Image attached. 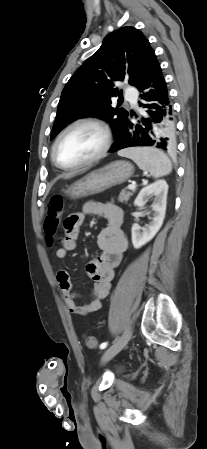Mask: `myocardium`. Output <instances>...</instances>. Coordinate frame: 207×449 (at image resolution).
<instances>
[{
    "label": "myocardium",
    "instance_id": "f54148a6",
    "mask_svg": "<svg viewBox=\"0 0 207 449\" xmlns=\"http://www.w3.org/2000/svg\"><path fill=\"white\" fill-rule=\"evenodd\" d=\"M79 126H88V127H92L94 129H96L101 134L102 146H101L100 150L94 156H92L91 158H89L87 160H84L82 162L72 164V165H63L59 162V160L57 158L58 144L67 132H69L71 129L79 127ZM111 143H112L111 130L103 122L93 120V119L76 120V121L72 122L71 124H69L68 126H66L57 136V138L53 144V147H52V160H53L54 164L60 169L74 170V169H77L80 167L91 165V164L99 161L101 158H103L106 155V153L110 149Z\"/></svg>",
    "mask_w": 207,
    "mask_h": 449
}]
</instances>
